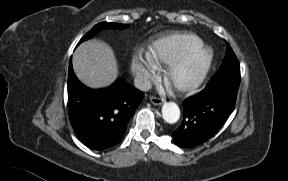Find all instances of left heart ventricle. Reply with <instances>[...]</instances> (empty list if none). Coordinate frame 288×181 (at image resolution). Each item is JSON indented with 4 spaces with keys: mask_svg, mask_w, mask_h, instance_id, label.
<instances>
[{
    "mask_svg": "<svg viewBox=\"0 0 288 181\" xmlns=\"http://www.w3.org/2000/svg\"><path fill=\"white\" fill-rule=\"evenodd\" d=\"M200 64V61H195L193 62L187 69L186 73L187 74H192L196 69L197 67L199 66Z\"/></svg>",
    "mask_w": 288,
    "mask_h": 181,
    "instance_id": "1",
    "label": "left heart ventricle"
}]
</instances>
